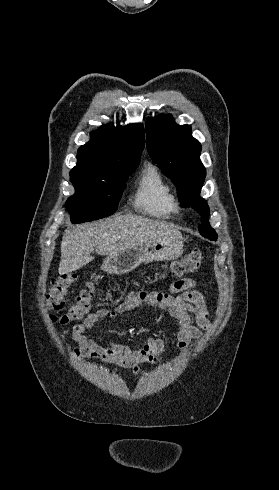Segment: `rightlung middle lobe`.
<instances>
[{
    "label": "right lung middle lobe",
    "mask_w": 279,
    "mask_h": 490,
    "mask_svg": "<svg viewBox=\"0 0 279 490\" xmlns=\"http://www.w3.org/2000/svg\"><path fill=\"white\" fill-rule=\"evenodd\" d=\"M136 167H124L104 176L70 174L76 190L66 202L71 222H89L112 215L117 210L128 176Z\"/></svg>",
    "instance_id": "obj_1"
}]
</instances>
